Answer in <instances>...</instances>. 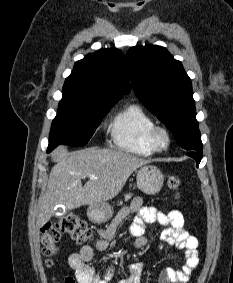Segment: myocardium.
<instances>
[{"label":"myocardium","instance_id":"myocardium-1","mask_svg":"<svg viewBox=\"0 0 233 283\" xmlns=\"http://www.w3.org/2000/svg\"><path fill=\"white\" fill-rule=\"evenodd\" d=\"M163 137L165 140L164 145L159 144V138ZM171 143L169 131L162 126H155L149 133V144L155 152L166 151Z\"/></svg>","mask_w":233,"mask_h":283}]
</instances>
